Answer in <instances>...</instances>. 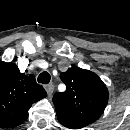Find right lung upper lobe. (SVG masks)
Segmentation results:
<instances>
[{"mask_svg": "<svg viewBox=\"0 0 130 130\" xmlns=\"http://www.w3.org/2000/svg\"><path fill=\"white\" fill-rule=\"evenodd\" d=\"M47 93L37 84L34 75L20 73L12 62L0 61V127L13 128L28 117L31 105Z\"/></svg>", "mask_w": 130, "mask_h": 130, "instance_id": "1", "label": "right lung upper lobe"}]
</instances>
